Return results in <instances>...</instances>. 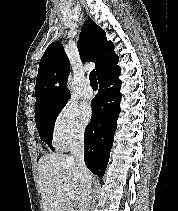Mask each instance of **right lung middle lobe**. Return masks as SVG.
Returning <instances> with one entry per match:
<instances>
[{
	"label": "right lung middle lobe",
	"instance_id": "obj_1",
	"mask_svg": "<svg viewBox=\"0 0 178 211\" xmlns=\"http://www.w3.org/2000/svg\"><path fill=\"white\" fill-rule=\"evenodd\" d=\"M67 102L51 105L35 115L36 126L40 135V138L51 146L52 142V130L55 124L58 113L63 109ZM53 149V148H51Z\"/></svg>",
	"mask_w": 178,
	"mask_h": 211
}]
</instances>
